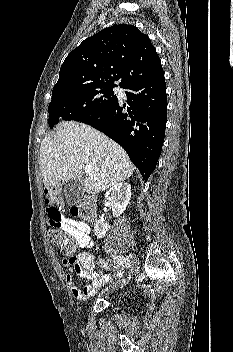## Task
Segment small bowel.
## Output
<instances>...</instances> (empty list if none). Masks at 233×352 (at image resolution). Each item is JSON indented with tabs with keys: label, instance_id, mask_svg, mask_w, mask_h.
Segmentation results:
<instances>
[{
	"label": "small bowel",
	"instance_id": "obj_1",
	"mask_svg": "<svg viewBox=\"0 0 233 352\" xmlns=\"http://www.w3.org/2000/svg\"><path fill=\"white\" fill-rule=\"evenodd\" d=\"M46 192L50 194L48 190ZM45 211L50 226L57 227L70 235L78 247L84 249L93 247L91 227L86 222L64 216L50 203L47 204ZM63 263L68 269L65 276L67 286L72 295L80 300H86L93 296L100 287L118 280L123 274L120 269L115 270L112 274H103L100 268L95 267V258L88 251L80 252L77 257L66 258ZM97 263L101 267L112 269L101 259ZM74 274L89 279L91 283L81 289L75 282Z\"/></svg>",
	"mask_w": 233,
	"mask_h": 352
}]
</instances>
